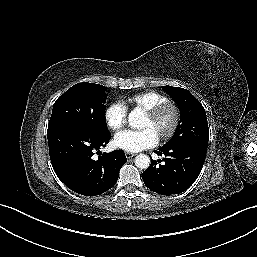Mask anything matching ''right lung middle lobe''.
<instances>
[{
  "mask_svg": "<svg viewBox=\"0 0 257 257\" xmlns=\"http://www.w3.org/2000/svg\"><path fill=\"white\" fill-rule=\"evenodd\" d=\"M105 86L78 83L69 88L54 103L48 128L76 124L98 135L109 134L105 121Z\"/></svg>",
  "mask_w": 257,
  "mask_h": 257,
  "instance_id": "right-lung-middle-lobe-1",
  "label": "right lung middle lobe"
}]
</instances>
